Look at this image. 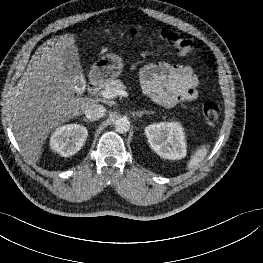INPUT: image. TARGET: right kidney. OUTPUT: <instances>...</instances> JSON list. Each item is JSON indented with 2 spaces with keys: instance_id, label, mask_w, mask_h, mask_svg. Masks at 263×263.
<instances>
[{
  "instance_id": "obj_1",
  "label": "right kidney",
  "mask_w": 263,
  "mask_h": 263,
  "mask_svg": "<svg viewBox=\"0 0 263 263\" xmlns=\"http://www.w3.org/2000/svg\"><path fill=\"white\" fill-rule=\"evenodd\" d=\"M88 136L85 126L67 124L58 127L50 138L51 149L62 157L76 154L84 145Z\"/></svg>"
}]
</instances>
